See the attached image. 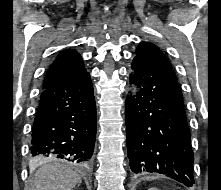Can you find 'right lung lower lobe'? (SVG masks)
Segmentation results:
<instances>
[{
	"label": "right lung lower lobe",
	"mask_w": 221,
	"mask_h": 190,
	"mask_svg": "<svg viewBox=\"0 0 221 190\" xmlns=\"http://www.w3.org/2000/svg\"><path fill=\"white\" fill-rule=\"evenodd\" d=\"M96 138V105L88 72L41 91L30 153L89 165Z\"/></svg>",
	"instance_id": "right-lung-lower-lobe-1"
}]
</instances>
